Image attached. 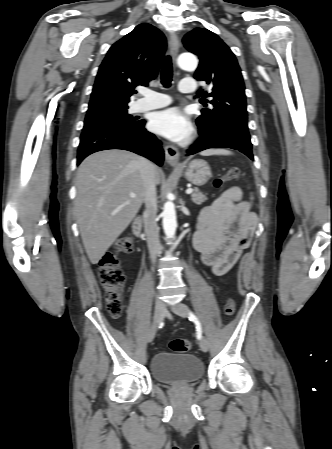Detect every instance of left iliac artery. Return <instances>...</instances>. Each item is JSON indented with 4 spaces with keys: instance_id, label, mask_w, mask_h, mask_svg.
Instances as JSON below:
<instances>
[{
    "instance_id": "1",
    "label": "left iliac artery",
    "mask_w": 332,
    "mask_h": 449,
    "mask_svg": "<svg viewBox=\"0 0 332 449\" xmlns=\"http://www.w3.org/2000/svg\"><path fill=\"white\" fill-rule=\"evenodd\" d=\"M189 318L191 321H193L196 325V336L198 339L202 338V327L200 324V321L198 320L197 316L194 313L189 314Z\"/></svg>"
}]
</instances>
